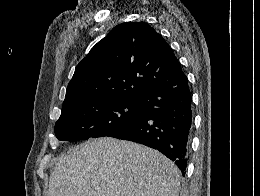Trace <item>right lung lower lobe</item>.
<instances>
[{"label": "right lung lower lobe", "instance_id": "right-lung-lower-lobe-1", "mask_svg": "<svg viewBox=\"0 0 260 196\" xmlns=\"http://www.w3.org/2000/svg\"><path fill=\"white\" fill-rule=\"evenodd\" d=\"M144 118L112 134L157 149L186 173L192 129V94L183 73L138 99Z\"/></svg>", "mask_w": 260, "mask_h": 196}]
</instances>
